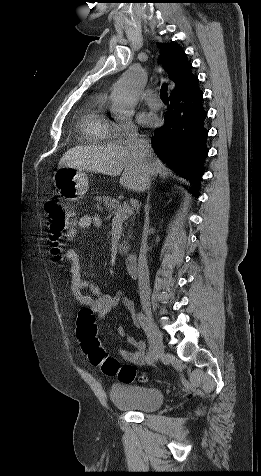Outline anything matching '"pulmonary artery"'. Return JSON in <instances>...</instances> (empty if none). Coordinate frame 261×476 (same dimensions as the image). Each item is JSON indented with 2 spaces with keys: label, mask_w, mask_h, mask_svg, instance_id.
<instances>
[{
  "label": "pulmonary artery",
  "mask_w": 261,
  "mask_h": 476,
  "mask_svg": "<svg viewBox=\"0 0 261 476\" xmlns=\"http://www.w3.org/2000/svg\"><path fill=\"white\" fill-rule=\"evenodd\" d=\"M146 102L148 106L151 107L152 109H159L162 106L156 94L149 95L146 99Z\"/></svg>",
  "instance_id": "e3ab8cb5"
}]
</instances>
